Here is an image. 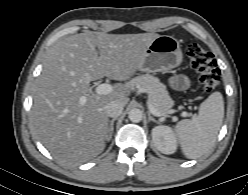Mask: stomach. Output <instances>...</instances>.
Instances as JSON below:
<instances>
[{
  "label": "stomach",
  "mask_w": 248,
  "mask_h": 195,
  "mask_svg": "<svg viewBox=\"0 0 248 195\" xmlns=\"http://www.w3.org/2000/svg\"><path fill=\"white\" fill-rule=\"evenodd\" d=\"M183 61V53L177 39L162 35L154 39L145 50L140 68L146 72H168L178 67Z\"/></svg>",
  "instance_id": "obj_1"
}]
</instances>
